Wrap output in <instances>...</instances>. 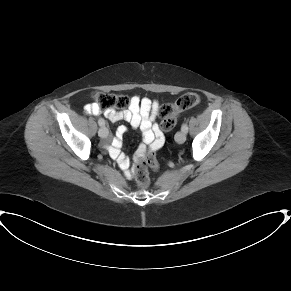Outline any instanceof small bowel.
Segmentation results:
<instances>
[{"mask_svg": "<svg viewBox=\"0 0 291 291\" xmlns=\"http://www.w3.org/2000/svg\"><path fill=\"white\" fill-rule=\"evenodd\" d=\"M85 110L89 114L98 115L102 113L99 107L95 104H88ZM159 104L156 100L149 98H141L133 96L130 100L128 108L124 110H117L115 108L104 111V115L112 122L124 120L128 122L133 128H139L143 135V140L146 145L151 147L154 142L160 141L163 143V134L158 124L155 122L158 114ZM125 126H120L117 135L112 139L109 151L113 156L118 155V146L120 144L121 136L126 132ZM145 147L141 146L140 150ZM119 165L124 172L127 179H132L135 174L130 169V161L127 158L119 157Z\"/></svg>", "mask_w": 291, "mask_h": 291, "instance_id": "obj_1", "label": "small bowel"}]
</instances>
